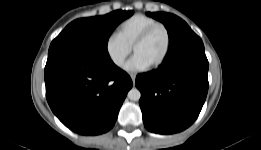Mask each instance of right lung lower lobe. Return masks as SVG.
I'll list each match as a JSON object with an SVG mask.
<instances>
[{"instance_id":"1","label":"right lung lower lobe","mask_w":261,"mask_h":150,"mask_svg":"<svg viewBox=\"0 0 261 150\" xmlns=\"http://www.w3.org/2000/svg\"><path fill=\"white\" fill-rule=\"evenodd\" d=\"M45 84L49 106L65 126L98 135L114 126L132 80L110 58L56 56L47 60Z\"/></svg>"}]
</instances>
